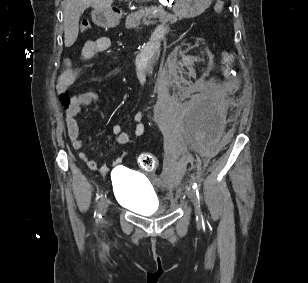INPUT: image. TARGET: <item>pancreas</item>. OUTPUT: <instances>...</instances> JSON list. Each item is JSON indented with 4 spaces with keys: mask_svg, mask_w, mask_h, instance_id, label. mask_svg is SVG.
Segmentation results:
<instances>
[{
    "mask_svg": "<svg viewBox=\"0 0 308 283\" xmlns=\"http://www.w3.org/2000/svg\"><path fill=\"white\" fill-rule=\"evenodd\" d=\"M157 10V11H156ZM156 11L154 14L152 12ZM147 18H158L162 23L173 24L178 20L176 15L167 13L162 8L159 7H146L139 11L130 13L125 20L126 28H135L141 24V21L145 22Z\"/></svg>",
    "mask_w": 308,
    "mask_h": 283,
    "instance_id": "1",
    "label": "pancreas"
}]
</instances>
